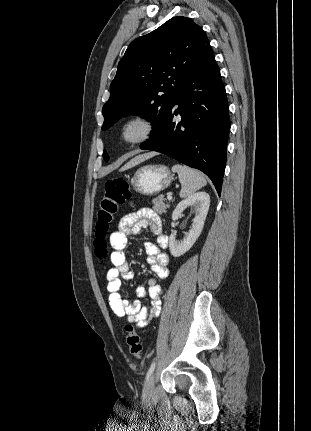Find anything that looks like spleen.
<instances>
[{"mask_svg": "<svg viewBox=\"0 0 311 431\" xmlns=\"http://www.w3.org/2000/svg\"><path fill=\"white\" fill-rule=\"evenodd\" d=\"M172 172H177L179 182L182 184L180 190V198H187V196H192L194 192L206 186L207 182L198 170H192L188 166H180V164H175L172 168Z\"/></svg>", "mask_w": 311, "mask_h": 431, "instance_id": "spleen-1", "label": "spleen"}]
</instances>
